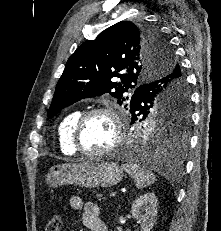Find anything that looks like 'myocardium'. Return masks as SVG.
I'll return each instance as SVG.
<instances>
[{"instance_id":"myocardium-1","label":"myocardium","mask_w":221,"mask_h":231,"mask_svg":"<svg viewBox=\"0 0 221 231\" xmlns=\"http://www.w3.org/2000/svg\"><path fill=\"white\" fill-rule=\"evenodd\" d=\"M96 114H104L110 118L113 128H114V140L112 144L106 149L92 152V151H87L82 148L81 143H80V134H81L82 127L85 124L86 120ZM122 140H123V125L121 122V118H120L118 111L114 107H111V106H98V107H93V108H90L84 111L77 118L73 126L72 145L76 152L84 156H88V157L107 156L119 148Z\"/></svg>"}]
</instances>
